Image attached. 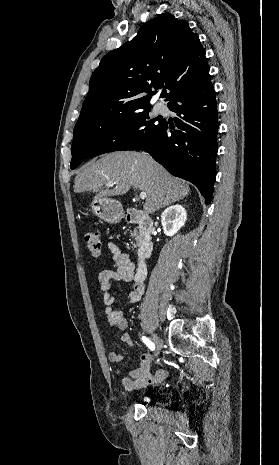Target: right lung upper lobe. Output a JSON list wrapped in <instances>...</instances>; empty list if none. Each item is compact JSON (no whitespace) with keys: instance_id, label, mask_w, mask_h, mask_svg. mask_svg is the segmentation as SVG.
I'll return each mask as SVG.
<instances>
[{"instance_id":"cb5924a9","label":"right lung upper lobe","mask_w":279,"mask_h":465,"mask_svg":"<svg viewBox=\"0 0 279 465\" xmlns=\"http://www.w3.org/2000/svg\"><path fill=\"white\" fill-rule=\"evenodd\" d=\"M210 77L205 51L188 22L164 13L103 57L90 79L77 125L100 124L151 106L156 91L172 100ZM168 93H167V91Z\"/></svg>"}]
</instances>
